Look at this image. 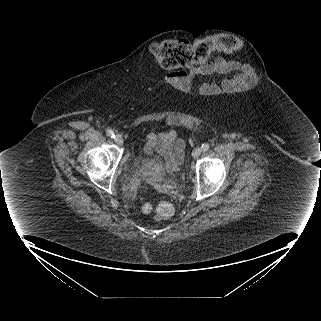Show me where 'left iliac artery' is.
Segmentation results:
<instances>
[{"mask_svg":"<svg viewBox=\"0 0 321 321\" xmlns=\"http://www.w3.org/2000/svg\"><path fill=\"white\" fill-rule=\"evenodd\" d=\"M209 147H210V145L208 143H205V144L202 145L201 148H202L203 151H207L209 149Z\"/></svg>","mask_w":321,"mask_h":321,"instance_id":"left-iliac-artery-1","label":"left iliac artery"}]
</instances>
